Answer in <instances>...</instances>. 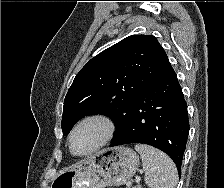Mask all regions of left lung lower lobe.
I'll return each mask as SVG.
<instances>
[{
  "instance_id": "1",
  "label": "left lung lower lobe",
  "mask_w": 224,
  "mask_h": 188,
  "mask_svg": "<svg viewBox=\"0 0 224 188\" xmlns=\"http://www.w3.org/2000/svg\"><path fill=\"white\" fill-rule=\"evenodd\" d=\"M189 134L187 106L173 68L147 85L131 108L110 147L144 143L167 153L181 174Z\"/></svg>"
}]
</instances>
